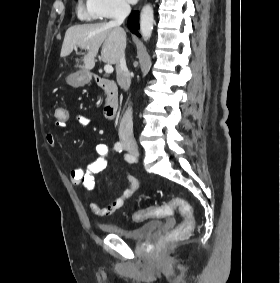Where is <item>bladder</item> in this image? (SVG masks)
I'll use <instances>...</instances> for the list:
<instances>
[{
  "instance_id": "bladder-1",
  "label": "bladder",
  "mask_w": 280,
  "mask_h": 283,
  "mask_svg": "<svg viewBox=\"0 0 280 283\" xmlns=\"http://www.w3.org/2000/svg\"><path fill=\"white\" fill-rule=\"evenodd\" d=\"M161 226H162L161 221L151 220L133 229H126L122 225L114 224V223L105 224L103 225L102 229L104 232L108 234H113L123 239L137 241L152 234L153 232L158 230Z\"/></svg>"
}]
</instances>
